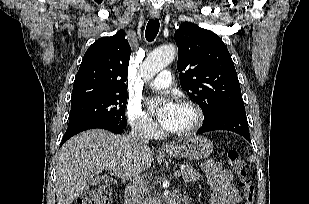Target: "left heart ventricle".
<instances>
[{"label": "left heart ventricle", "mask_w": 309, "mask_h": 204, "mask_svg": "<svg viewBox=\"0 0 309 204\" xmlns=\"http://www.w3.org/2000/svg\"><path fill=\"white\" fill-rule=\"evenodd\" d=\"M194 122V113L191 109L180 106L177 109L170 131L184 130Z\"/></svg>", "instance_id": "obj_1"}]
</instances>
